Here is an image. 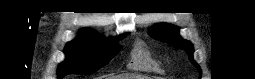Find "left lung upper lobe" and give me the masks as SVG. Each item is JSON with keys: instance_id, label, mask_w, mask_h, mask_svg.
Wrapping results in <instances>:
<instances>
[{"instance_id": "5c2ea615", "label": "left lung upper lobe", "mask_w": 255, "mask_h": 79, "mask_svg": "<svg viewBox=\"0 0 255 79\" xmlns=\"http://www.w3.org/2000/svg\"><path fill=\"white\" fill-rule=\"evenodd\" d=\"M177 28L160 24L157 26H154L150 32V36H152L155 39L162 40L164 42H168L176 47L182 48L187 50V53L189 55L190 61L200 70L199 66L194 62L193 60V46L189 41L183 40L177 35Z\"/></svg>"}]
</instances>
